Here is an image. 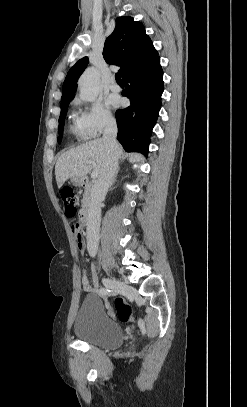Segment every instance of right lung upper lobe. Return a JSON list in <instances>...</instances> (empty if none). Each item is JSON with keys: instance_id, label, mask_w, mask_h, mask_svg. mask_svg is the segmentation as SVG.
<instances>
[{"instance_id": "cb5924a9", "label": "right lung upper lobe", "mask_w": 247, "mask_h": 407, "mask_svg": "<svg viewBox=\"0 0 247 407\" xmlns=\"http://www.w3.org/2000/svg\"><path fill=\"white\" fill-rule=\"evenodd\" d=\"M103 55L108 63L120 66L123 78L130 70L158 56V52L141 22L121 16L116 19L115 29L105 41ZM87 65L88 58L84 57L69 70L62 88L61 104L74 98L77 80Z\"/></svg>"}]
</instances>
